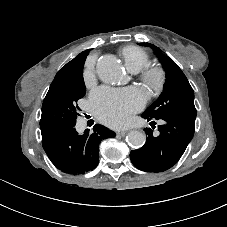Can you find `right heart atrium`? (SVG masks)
Masks as SVG:
<instances>
[{
    "instance_id": "d8ad5b80",
    "label": "right heart atrium",
    "mask_w": 227,
    "mask_h": 227,
    "mask_svg": "<svg viewBox=\"0 0 227 227\" xmlns=\"http://www.w3.org/2000/svg\"><path fill=\"white\" fill-rule=\"evenodd\" d=\"M97 56L96 55H91L88 59H87V63H86V69L84 72V78L88 79L92 73V69L95 65Z\"/></svg>"
}]
</instances>
